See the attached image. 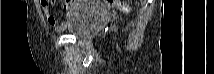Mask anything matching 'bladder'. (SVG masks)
Instances as JSON below:
<instances>
[{
	"label": "bladder",
	"instance_id": "1",
	"mask_svg": "<svg viewBox=\"0 0 214 74\" xmlns=\"http://www.w3.org/2000/svg\"><path fill=\"white\" fill-rule=\"evenodd\" d=\"M109 18L110 14L105 8L94 2H86L79 6L68 19L64 31L75 37H90Z\"/></svg>",
	"mask_w": 214,
	"mask_h": 74
}]
</instances>
